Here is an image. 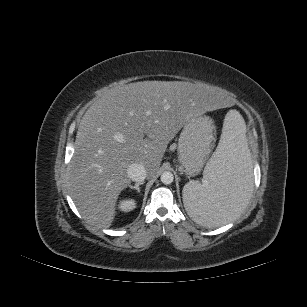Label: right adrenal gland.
Wrapping results in <instances>:
<instances>
[{
    "label": "right adrenal gland",
    "instance_id": "2a0ac1e0",
    "mask_svg": "<svg viewBox=\"0 0 307 307\" xmlns=\"http://www.w3.org/2000/svg\"><path fill=\"white\" fill-rule=\"evenodd\" d=\"M144 182H138L136 183L134 186L132 185H128L130 187V189H134V190H137L138 193H140V188L139 186L142 185Z\"/></svg>",
    "mask_w": 307,
    "mask_h": 307
}]
</instances>
